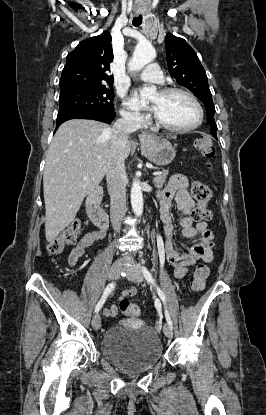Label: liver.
<instances>
[{
	"mask_svg": "<svg viewBox=\"0 0 266 415\" xmlns=\"http://www.w3.org/2000/svg\"><path fill=\"white\" fill-rule=\"evenodd\" d=\"M111 147V128L104 123L72 119L58 128L47 151L43 172L48 242L75 219L83 199L103 180ZM130 150L131 142L127 141L126 157Z\"/></svg>",
	"mask_w": 266,
	"mask_h": 415,
	"instance_id": "6515ba94",
	"label": "liver"
}]
</instances>
